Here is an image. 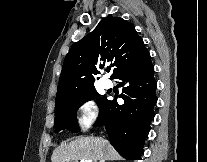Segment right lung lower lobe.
I'll list each match as a JSON object with an SVG mask.
<instances>
[{
	"label": "right lung lower lobe",
	"mask_w": 207,
	"mask_h": 162,
	"mask_svg": "<svg viewBox=\"0 0 207 162\" xmlns=\"http://www.w3.org/2000/svg\"><path fill=\"white\" fill-rule=\"evenodd\" d=\"M114 78L120 80L118 86L125 93L122 95L124 104L108 100L95 126L105 125L111 144L122 157L140 160L157 102L150 54L127 66Z\"/></svg>",
	"instance_id": "98d812e1"
}]
</instances>
